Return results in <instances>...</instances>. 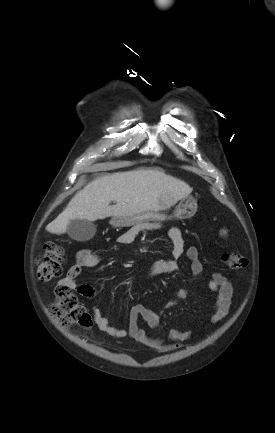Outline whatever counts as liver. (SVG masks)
Segmentation results:
<instances>
[{"mask_svg": "<svg viewBox=\"0 0 275 433\" xmlns=\"http://www.w3.org/2000/svg\"><path fill=\"white\" fill-rule=\"evenodd\" d=\"M192 192V188L164 171L137 169L104 175L77 192L67 207L46 230L63 234L71 220L90 222L154 211L170 199L175 203ZM115 202L109 206L110 202Z\"/></svg>", "mask_w": 275, "mask_h": 433, "instance_id": "1", "label": "liver"}]
</instances>
